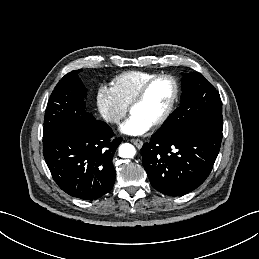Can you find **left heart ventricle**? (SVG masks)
<instances>
[{
  "mask_svg": "<svg viewBox=\"0 0 259 259\" xmlns=\"http://www.w3.org/2000/svg\"><path fill=\"white\" fill-rule=\"evenodd\" d=\"M172 94L173 86L169 80H157L150 86L145 97L132 108V114L153 124L166 110Z\"/></svg>",
  "mask_w": 259,
  "mask_h": 259,
  "instance_id": "b2bd125f",
  "label": "left heart ventricle"
}]
</instances>
